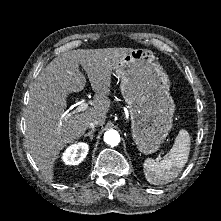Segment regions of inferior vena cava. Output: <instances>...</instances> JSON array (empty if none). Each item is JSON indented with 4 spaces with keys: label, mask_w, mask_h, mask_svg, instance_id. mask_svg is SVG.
Listing matches in <instances>:
<instances>
[{
    "label": "inferior vena cava",
    "mask_w": 221,
    "mask_h": 221,
    "mask_svg": "<svg viewBox=\"0 0 221 221\" xmlns=\"http://www.w3.org/2000/svg\"><path fill=\"white\" fill-rule=\"evenodd\" d=\"M100 123H101L100 119L96 118V119H93L91 122H89L88 126L93 129Z\"/></svg>",
    "instance_id": "1"
}]
</instances>
